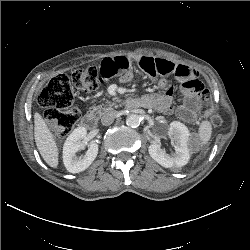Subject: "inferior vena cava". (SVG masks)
<instances>
[{"label":"inferior vena cava","mask_w":250,"mask_h":250,"mask_svg":"<svg viewBox=\"0 0 250 250\" xmlns=\"http://www.w3.org/2000/svg\"><path fill=\"white\" fill-rule=\"evenodd\" d=\"M117 115H118V112L115 110H111V111L104 113L101 118L102 125L108 126L112 124L115 118L117 117Z\"/></svg>","instance_id":"inferior-vena-cava-1"}]
</instances>
